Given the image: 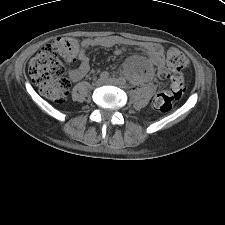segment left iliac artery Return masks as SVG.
<instances>
[{
    "instance_id": "left-iliac-artery-1",
    "label": "left iliac artery",
    "mask_w": 225,
    "mask_h": 225,
    "mask_svg": "<svg viewBox=\"0 0 225 225\" xmlns=\"http://www.w3.org/2000/svg\"><path fill=\"white\" fill-rule=\"evenodd\" d=\"M118 82H119V84H121V85H126V80H125V78H123V77H119V78H118Z\"/></svg>"
}]
</instances>
